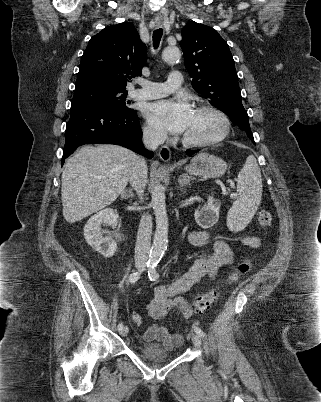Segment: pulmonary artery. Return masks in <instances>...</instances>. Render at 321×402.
<instances>
[{
  "mask_svg": "<svg viewBox=\"0 0 321 402\" xmlns=\"http://www.w3.org/2000/svg\"><path fill=\"white\" fill-rule=\"evenodd\" d=\"M138 84L140 88L131 93L133 98L141 100L156 99L166 96L179 88L182 84V74L178 71H173L164 83L140 80Z\"/></svg>",
  "mask_w": 321,
  "mask_h": 402,
  "instance_id": "obj_1",
  "label": "pulmonary artery"
}]
</instances>
